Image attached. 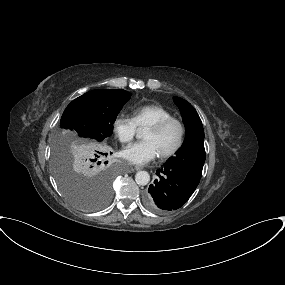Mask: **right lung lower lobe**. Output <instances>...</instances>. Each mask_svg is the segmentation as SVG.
<instances>
[{"label": "right lung lower lobe", "instance_id": "obj_1", "mask_svg": "<svg viewBox=\"0 0 285 285\" xmlns=\"http://www.w3.org/2000/svg\"><path fill=\"white\" fill-rule=\"evenodd\" d=\"M104 162L102 164H95L94 166H91L90 169H91V172L92 173H99L101 170H102V167H104Z\"/></svg>", "mask_w": 285, "mask_h": 285}]
</instances>
